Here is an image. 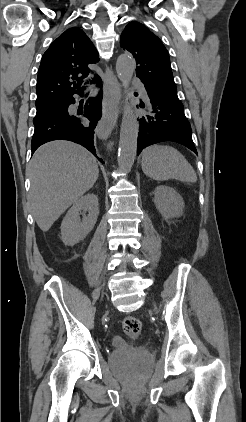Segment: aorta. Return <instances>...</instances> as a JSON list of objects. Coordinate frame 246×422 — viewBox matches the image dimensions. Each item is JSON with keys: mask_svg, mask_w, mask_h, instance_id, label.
Returning a JSON list of instances; mask_svg holds the SVG:
<instances>
[{"mask_svg": "<svg viewBox=\"0 0 246 422\" xmlns=\"http://www.w3.org/2000/svg\"><path fill=\"white\" fill-rule=\"evenodd\" d=\"M135 60L129 54H122L116 61V72L125 94V106L122 116L118 152V165L121 171L129 172L134 164L137 152L139 123L132 109L130 81L135 71Z\"/></svg>", "mask_w": 246, "mask_h": 422, "instance_id": "aorta-1", "label": "aorta"}]
</instances>
